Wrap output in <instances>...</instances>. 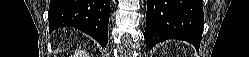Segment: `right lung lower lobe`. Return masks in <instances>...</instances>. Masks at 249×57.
I'll return each mask as SVG.
<instances>
[{"label":"right lung lower lobe","mask_w":249,"mask_h":57,"mask_svg":"<svg viewBox=\"0 0 249 57\" xmlns=\"http://www.w3.org/2000/svg\"><path fill=\"white\" fill-rule=\"evenodd\" d=\"M109 15V0H51L48 13L50 32L72 26L106 47Z\"/></svg>","instance_id":"1"}]
</instances>
